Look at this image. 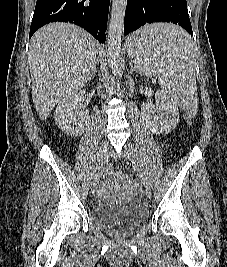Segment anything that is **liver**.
I'll return each instance as SVG.
<instances>
[{
    "label": "liver",
    "mask_w": 227,
    "mask_h": 267,
    "mask_svg": "<svg viewBox=\"0 0 227 267\" xmlns=\"http://www.w3.org/2000/svg\"><path fill=\"white\" fill-rule=\"evenodd\" d=\"M97 46L87 31L69 23H50L32 36V100L41 120L60 100L84 87L97 61Z\"/></svg>",
    "instance_id": "1"
}]
</instances>
